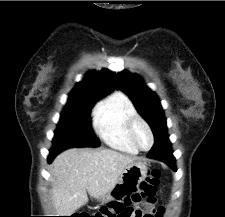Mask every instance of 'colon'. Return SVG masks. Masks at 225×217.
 Instances as JSON below:
<instances>
[{
  "instance_id": "colon-1",
  "label": "colon",
  "mask_w": 225,
  "mask_h": 217,
  "mask_svg": "<svg viewBox=\"0 0 225 217\" xmlns=\"http://www.w3.org/2000/svg\"><path fill=\"white\" fill-rule=\"evenodd\" d=\"M160 171L156 168L151 169L145 181H143L138 190L132 192L130 197H123L116 201L111 202L108 206L103 207L94 216L89 217H116V214L121 209V204H130L131 202H140L143 199H153L157 186L159 185ZM160 214V211L156 213ZM75 217H86V216H75Z\"/></svg>"
}]
</instances>
